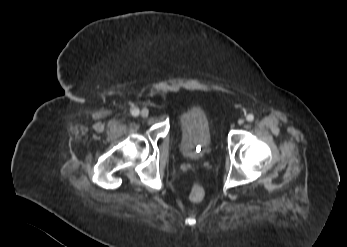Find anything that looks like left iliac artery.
<instances>
[{
	"instance_id": "44dca946",
	"label": "left iliac artery",
	"mask_w": 347,
	"mask_h": 247,
	"mask_svg": "<svg viewBox=\"0 0 347 247\" xmlns=\"http://www.w3.org/2000/svg\"><path fill=\"white\" fill-rule=\"evenodd\" d=\"M246 120H247L248 122H252V121L254 120L253 114H248L247 117H246Z\"/></svg>"
}]
</instances>
